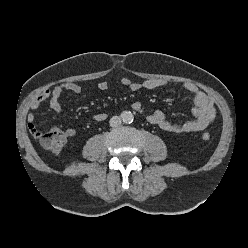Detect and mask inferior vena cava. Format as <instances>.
Instances as JSON below:
<instances>
[{
	"label": "inferior vena cava",
	"instance_id": "1",
	"mask_svg": "<svg viewBox=\"0 0 248 248\" xmlns=\"http://www.w3.org/2000/svg\"><path fill=\"white\" fill-rule=\"evenodd\" d=\"M109 123L111 127H118L121 125V118L119 116H113Z\"/></svg>",
	"mask_w": 248,
	"mask_h": 248
}]
</instances>
